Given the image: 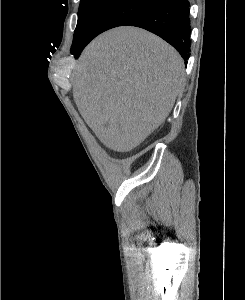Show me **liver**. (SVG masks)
Returning <instances> with one entry per match:
<instances>
[{
    "instance_id": "1",
    "label": "liver",
    "mask_w": 245,
    "mask_h": 300,
    "mask_svg": "<svg viewBox=\"0 0 245 300\" xmlns=\"http://www.w3.org/2000/svg\"><path fill=\"white\" fill-rule=\"evenodd\" d=\"M184 71L178 52L158 36L117 27L82 52L72 75L74 101L105 146L128 152L165 121L183 90Z\"/></svg>"
}]
</instances>
